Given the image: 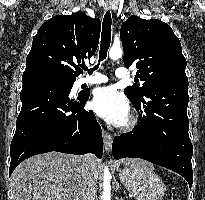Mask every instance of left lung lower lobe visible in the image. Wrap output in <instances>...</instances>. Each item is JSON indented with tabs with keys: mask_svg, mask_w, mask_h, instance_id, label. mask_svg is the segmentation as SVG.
I'll list each match as a JSON object with an SVG mask.
<instances>
[{
	"mask_svg": "<svg viewBox=\"0 0 205 200\" xmlns=\"http://www.w3.org/2000/svg\"><path fill=\"white\" fill-rule=\"evenodd\" d=\"M188 84L170 82L151 88L140 104H133L140 124L133 132L116 137L112 144L115 159L139 157L182 175L192 186L187 117Z\"/></svg>",
	"mask_w": 205,
	"mask_h": 200,
	"instance_id": "1",
	"label": "left lung lower lobe"
}]
</instances>
